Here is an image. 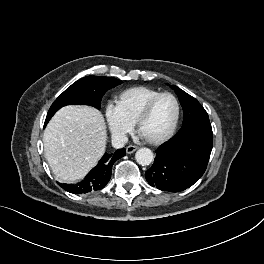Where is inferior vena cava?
Here are the masks:
<instances>
[{"instance_id":"obj_1","label":"inferior vena cava","mask_w":264,"mask_h":264,"mask_svg":"<svg viewBox=\"0 0 264 264\" xmlns=\"http://www.w3.org/2000/svg\"><path fill=\"white\" fill-rule=\"evenodd\" d=\"M128 142V138L124 133H113L112 134V146L116 149L122 148Z\"/></svg>"}]
</instances>
